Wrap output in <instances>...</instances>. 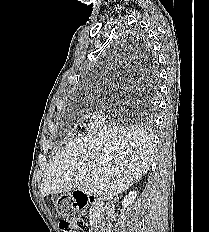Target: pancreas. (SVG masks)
Wrapping results in <instances>:
<instances>
[{"label": "pancreas", "instance_id": "1", "mask_svg": "<svg viewBox=\"0 0 209 232\" xmlns=\"http://www.w3.org/2000/svg\"><path fill=\"white\" fill-rule=\"evenodd\" d=\"M94 211H95L94 208L91 209V211H90V215H89L90 220H92L95 217V215L93 214Z\"/></svg>", "mask_w": 209, "mask_h": 232}]
</instances>
